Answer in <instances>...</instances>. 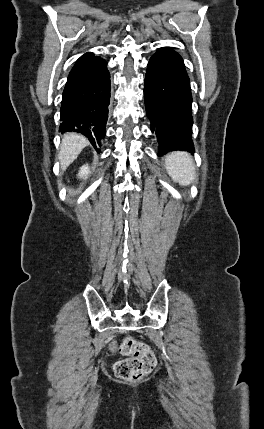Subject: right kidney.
I'll list each match as a JSON object with an SVG mask.
<instances>
[{
  "instance_id": "1",
  "label": "right kidney",
  "mask_w": 264,
  "mask_h": 429,
  "mask_svg": "<svg viewBox=\"0 0 264 429\" xmlns=\"http://www.w3.org/2000/svg\"><path fill=\"white\" fill-rule=\"evenodd\" d=\"M88 173H89V168H88V165L86 164V165H84V166H82V167L80 168V171H79V173H78V176H79L80 178H84V177H86V176L88 175Z\"/></svg>"
}]
</instances>
